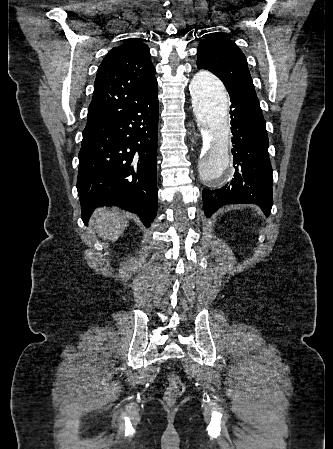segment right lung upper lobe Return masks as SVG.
Masks as SVG:
<instances>
[{
    "mask_svg": "<svg viewBox=\"0 0 333 449\" xmlns=\"http://www.w3.org/2000/svg\"><path fill=\"white\" fill-rule=\"evenodd\" d=\"M158 90L149 48L136 39L113 48L98 68L87 124L103 120Z\"/></svg>",
    "mask_w": 333,
    "mask_h": 449,
    "instance_id": "obj_1",
    "label": "right lung upper lobe"
}]
</instances>
